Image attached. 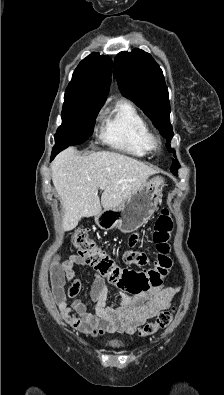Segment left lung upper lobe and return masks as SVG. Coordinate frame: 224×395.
Masks as SVG:
<instances>
[{
    "label": "left lung upper lobe",
    "mask_w": 224,
    "mask_h": 395,
    "mask_svg": "<svg viewBox=\"0 0 224 395\" xmlns=\"http://www.w3.org/2000/svg\"><path fill=\"white\" fill-rule=\"evenodd\" d=\"M114 73L121 93L131 99L152 120L161 135L167 139L169 152L173 137L170 124L169 95L163 72L152 56L140 49L121 52L114 60ZM179 168L173 160L171 171Z\"/></svg>",
    "instance_id": "1"
}]
</instances>
